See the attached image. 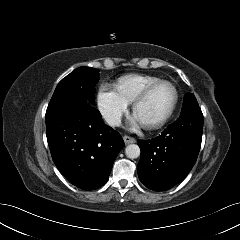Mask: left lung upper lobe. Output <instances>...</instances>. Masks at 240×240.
I'll use <instances>...</instances> for the list:
<instances>
[{
	"label": "left lung upper lobe",
	"instance_id": "obj_1",
	"mask_svg": "<svg viewBox=\"0 0 240 240\" xmlns=\"http://www.w3.org/2000/svg\"><path fill=\"white\" fill-rule=\"evenodd\" d=\"M195 107H199L195 96L192 93H187L183 99V106L181 112Z\"/></svg>",
	"mask_w": 240,
	"mask_h": 240
}]
</instances>
